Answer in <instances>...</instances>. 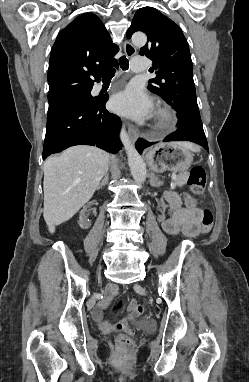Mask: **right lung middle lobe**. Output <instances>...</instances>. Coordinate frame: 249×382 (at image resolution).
<instances>
[{"label": "right lung middle lobe", "instance_id": "dd1d6c3e", "mask_svg": "<svg viewBox=\"0 0 249 382\" xmlns=\"http://www.w3.org/2000/svg\"><path fill=\"white\" fill-rule=\"evenodd\" d=\"M91 89L75 93L61 100L49 103L47 117L53 116L67 108L74 106H83L93 100Z\"/></svg>", "mask_w": 249, "mask_h": 382}]
</instances>
